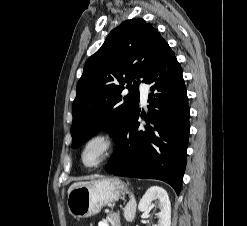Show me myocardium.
Masks as SVG:
<instances>
[{
    "instance_id": "1",
    "label": "myocardium",
    "mask_w": 247,
    "mask_h": 226,
    "mask_svg": "<svg viewBox=\"0 0 247 226\" xmlns=\"http://www.w3.org/2000/svg\"><path fill=\"white\" fill-rule=\"evenodd\" d=\"M94 143H98L101 146L99 156L92 163L85 161V154L87 149ZM116 148L115 137L107 131H97L90 134L83 142L80 150V161L87 168H96L106 162L113 154Z\"/></svg>"
}]
</instances>
